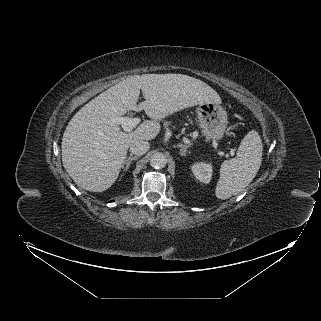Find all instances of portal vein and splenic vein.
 <instances>
[{"mask_svg": "<svg viewBox=\"0 0 321 321\" xmlns=\"http://www.w3.org/2000/svg\"><path fill=\"white\" fill-rule=\"evenodd\" d=\"M140 121V118L129 117H115L112 119V122L121 125L125 132H130L135 126L140 123ZM232 153L233 150H231V154Z\"/></svg>", "mask_w": 321, "mask_h": 321, "instance_id": "1", "label": "portal vein and splenic vein"}]
</instances>
